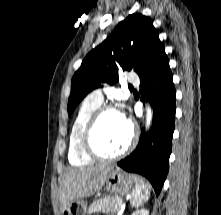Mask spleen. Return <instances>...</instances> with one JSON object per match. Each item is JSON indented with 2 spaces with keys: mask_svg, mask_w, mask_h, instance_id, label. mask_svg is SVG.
Here are the masks:
<instances>
[{
  "mask_svg": "<svg viewBox=\"0 0 221 215\" xmlns=\"http://www.w3.org/2000/svg\"><path fill=\"white\" fill-rule=\"evenodd\" d=\"M135 179V187L132 190V206L138 207L143 202H146L150 196L149 185L145 181L135 175H132Z\"/></svg>",
  "mask_w": 221,
  "mask_h": 215,
  "instance_id": "obj_1",
  "label": "spleen"
}]
</instances>
